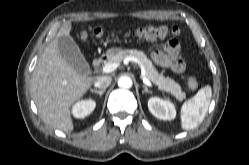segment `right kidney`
Masks as SVG:
<instances>
[{
    "label": "right kidney",
    "instance_id": "1",
    "mask_svg": "<svg viewBox=\"0 0 249 165\" xmlns=\"http://www.w3.org/2000/svg\"><path fill=\"white\" fill-rule=\"evenodd\" d=\"M96 107L94 100H83L77 102L72 108V114L76 118H85L89 115Z\"/></svg>",
    "mask_w": 249,
    "mask_h": 165
}]
</instances>
